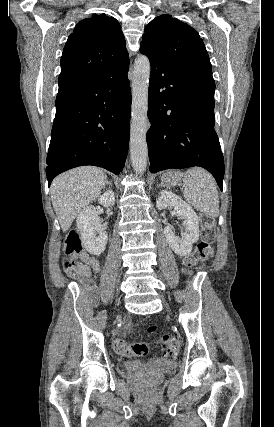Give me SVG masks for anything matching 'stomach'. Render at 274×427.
I'll list each match as a JSON object with an SVG mask.
<instances>
[{
  "instance_id": "0dacf381",
  "label": "stomach",
  "mask_w": 274,
  "mask_h": 427,
  "mask_svg": "<svg viewBox=\"0 0 274 427\" xmlns=\"http://www.w3.org/2000/svg\"><path fill=\"white\" fill-rule=\"evenodd\" d=\"M181 180V172H166L161 178V184L166 188H172V186H180Z\"/></svg>"
}]
</instances>
